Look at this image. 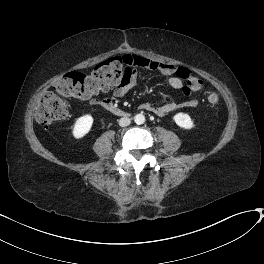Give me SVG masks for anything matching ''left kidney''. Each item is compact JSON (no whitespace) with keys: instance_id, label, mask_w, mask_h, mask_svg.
Instances as JSON below:
<instances>
[{"instance_id":"5707ae66","label":"left kidney","mask_w":264,"mask_h":264,"mask_svg":"<svg viewBox=\"0 0 264 264\" xmlns=\"http://www.w3.org/2000/svg\"><path fill=\"white\" fill-rule=\"evenodd\" d=\"M173 120L175 123L183 129H192L194 126L193 120L187 113H177L174 115Z\"/></svg>"}]
</instances>
